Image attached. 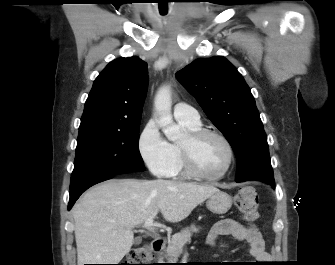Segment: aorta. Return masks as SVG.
Here are the masks:
<instances>
[{
    "instance_id": "aorta-1",
    "label": "aorta",
    "mask_w": 335,
    "mask_h": 265,
    "mask_svg": "<svg viewBox=\"0 0 335 265\" xmlns=\"http://www.w3.org/2000/svg\"><path fill=\"white\" fill-rule=\"evenodd\" d=\"M155 110L159 115L158 124L170 141L178 140L182 134L179 127L173 122L171 114V91L168 86L159 89L154 100Z\"/></svg>"
}]
</instances>
